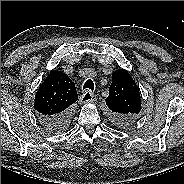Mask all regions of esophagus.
<instances>
[{"label": "esophagus", "instance_id": "1", "mask_svg": "<svg viewBox=\"0 0 184 184\" xmlns=\"http://www.w3.org/2000/svg\"><path fill=\"white\" fill-rule=\"evenodd\" d=\"M96 95L92 93L89 90H86L81 96H80V103L85 104V103H90L96 101Z\"/></svg>", "mask_w": 184, "mask_h": 184}]
</instances>
